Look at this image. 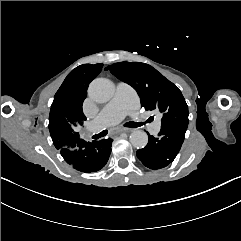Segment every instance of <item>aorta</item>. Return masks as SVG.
I'll return each mask as SVG.
<instances>
[{"label":"aorta","instance_id":"obj_1","mask_svg":"<svg viewBox=\"0 0 241 241\" xmlns=\"http://www.w3.org/2000/svg\"><path fill=\"white\" fill-rule=\"evenodd\" d=\"M115 91L112 81L106 78L94 79L88 88L89 96L96 102L103 103L109 101ZM130 142L135 148H144L148 143V135L142 130H134L130 134Z\"/></svg>","mask_w":241,"mask_h":241}]
</instances>
